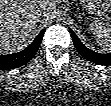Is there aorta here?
Masks as SVG:
<instances>
[{"label":"aorta","mask_w":111,"mask_h":106,"mask_svg":"<svg viewBox=\"0 0 111 106\" xmlns=\"http://www.w3.org/2000/svg\"><path fill=\"white\" fill-rule=\"evenodd\" d=\"M59 20L64 21V20H65V17H64V16H61V17L59 18Z\"/></svg>","instance_id":"aorta-1"}]
</instances>
